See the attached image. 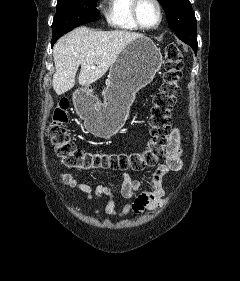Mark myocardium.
<instances>
[{
  "label": "myocardium",
  "mask_w": 240,
  "mask_h": 281,
  "mask_svg": "<svg viewBox=\"0 0 240 281\" xmlns=\"http://www.w3.org/2000/svg\"><path fill=\"white\" fill-rule=\"evenodd\" d=\"M152 1L157 6L158 13H159V19L155 25L146 26L143 24V22L141 21L140 16H139V6H140V3L142 2V0H133L132 7H131L132 17L140 29L154 30V29H157L163 22L164 10H163V5H162L161 1L160 0H152Z\"/></svg>",
  "instance_id": "1"
}]
</instances>
